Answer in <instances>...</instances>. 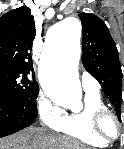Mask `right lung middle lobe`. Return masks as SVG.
<instances>
[{"label":"right lung middle lobe","instance_id":"right-lung-middle-lobe-1","mask_svg":"<svg viewBox=\"0 0 124 149\" xmlns=\"http://www.w3.org/2000/svg\"><path fill=\"white\" fill-rule=\"evenodd\" d=\"M0 92L10 97L22 99L31 108L37 109L38 83L29 81L25 72L0 66Z\"/></svg>","mask_w":124,"mask_h":149}]
</instances>
